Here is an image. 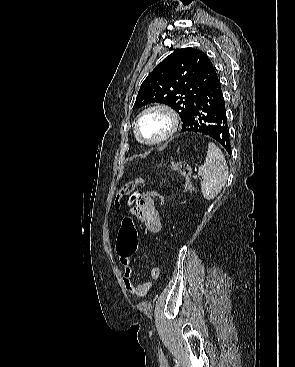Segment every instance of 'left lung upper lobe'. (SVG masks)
Listing matches in <instances>:
<instances>
[{"label":"left lung upper lobe","instance_id":"1","mask_svg":"<svg viewBox=\"0 0 295 367\" xmlns=\"http://www.w3.org/2000/svg\"><path fill=\"white\" fill-rule=\"evenodd\" d=\"M215 71L208 56L194 48L178 49L159 63L141 84L133 108L164 103L182 122Z\"/></svg>","mask_w":295,"mask_h":367}]
</instances>
